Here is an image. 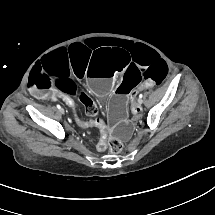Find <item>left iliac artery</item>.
<instances>
[{
	"instance_id": "obj_1",
	"label": "left iliac artery",
	"mask_w": 215,
	"mask_h": 215,
	"mask_svg": "<svg viewBox=\"0 0 215 215\" xmlns=\"http://www.w3.org/2000/svg\"><path fill=\"white\" fill-rule=\"evenodd\" d=\"M140 102H143V95L142 94H140L139 95V99H138Z\"/></svg>"
}]
</instances>
